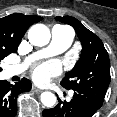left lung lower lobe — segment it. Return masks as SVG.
Listing matches in <instances>:
<instances>
[{
  "label": "left lung lower lobe",
  "instance_id": "obj_1",
  "mask_svg": "<svg viewBox=\"0 0 117 117\" xmlns=\"http://www.w3.org/2000/svg\"><path fill=\"white\" fill-rule=\"evenodd\" d=\"M100 107L84 94L74 92L70 102L59 99L54 108L43 111V117H92Z\"/></svg>",
  "mask_w": 117,
  "mask_h": 117
}]
</instances>
